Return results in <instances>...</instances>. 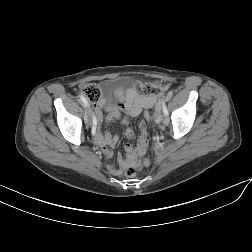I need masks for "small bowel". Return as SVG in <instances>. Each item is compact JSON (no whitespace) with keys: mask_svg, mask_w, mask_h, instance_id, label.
Returning <instances> with one entry per match:
<instances>
[{"mask_svg":"<svg viewBox=\"0 0 252 252\" xmlns=\"http://www.w3.org/2000/svg\"><path fill=\"white\" fill-rule=\"evenodd\" d=\"M118 102L113 103L110 99H104L95 105L96 118L98 123L96 128V136H93L94 141L102 147L103 152L107 158L113 156L112 148L118 141L117 134L102 133L100 131V124L104 120V113H106L105 120L107 122H113L120 120L122 125H127L128 117L121 118V111H124L130 117H137L142 111L150 109L156 104L157 99L152 96H144L136 92L135 90L123 91L119 90L116 93ZM140 137L137 145L134 146L131 141L134 139V132L132 129H126L124 135L128 140L125 145V155H118V165H110L109 170L114 175H121L124 169L132 162H137L145 155L149 145V133L147 130L146 121L142 120L139 123ZM145 166L149 165L148 159L142 160Z\"/></svg>","mask_w":252,"mask_h":252,"instance_id":"small-bowel-1","label":"small bowel"}]
</instances>
